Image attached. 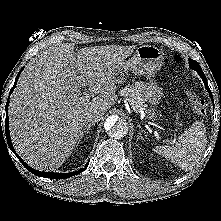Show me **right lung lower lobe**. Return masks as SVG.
<instances>
[{
    "instance_id": "1",
    "label": "right lung lower lobe",
    "mask_w": 221,
    "mask_h": 221,
    "mask_svg": "<svg viewBox=\"0 0 221 221\" xmlns=\"http://www.w3.org/2000/svg\"><path fill=\"white\" fill-rule=\"evenodd\" d=\"M24 68V67H23ZM23 68L21 69V71L23 70ZM21 71L18 73L17 77H16V80H15V83H14V86L12 87L10 93L13 91V89L15 88V85L17 83V80L19 78V75L21 73ZM8 105H9V98L7 100V103H6V120H5V134H6V139H7V143H8V146L9 148L13 151V153L18 157V159L21 161V163L24 165V167L29 170L31 173H33L34 175H37V176H41V177H45V178H51V179H64V178H69L71 176H74V175H77L79 173H81L83 170L86 169V167L88 166L89 162L86 164L85 168L82 169V170H79V171H76V172H71V173H52V172H41V171H37V170H34L33 168L29 167L15 152L13 146H12V143H11V139H10V136H9V122H8ZM0 128L2 130V127H1V124H0Z\"/></svg>"
}]
</instances>
